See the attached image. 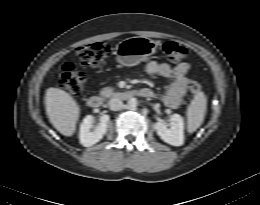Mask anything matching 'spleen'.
Listing matches in <instances>:
<instances>
[{"label":"spleen","mask_w":260,"mask_h":205,"mask_svg":"<svg viewBox=\"0 0 260 205\" xmlns=\"http://www.w3.org/2000/svg\"><path fill=\"white\" fill-rule=\"evenodd\" d=\"M207 108V98L201 91L197 92L187 108V129L195 132L203 123Z\"/></svg>","instance_id":"3e777b00"}]
</instances>
